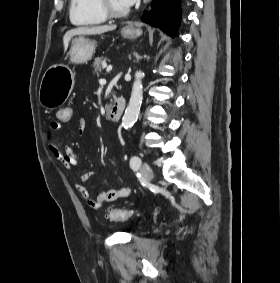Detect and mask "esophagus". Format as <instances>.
Returning a JSON list of instances; mask_svg holds the SVG:
<instances>
[{
	"label": "esophagus",
	"instance_id": "1",
	"mask_svg": "<svg viewBox=\"0 0 280 283\" xmlns=\"http://www.w3.org/2000/svg\"><path fill=\"white\" fill-rule=\"evenodd\" d=\"M150 0H144V3L147 4Z\"/></svg>",
	"mask_w": 280,
	"mask_h": 283
}]
</instances>
